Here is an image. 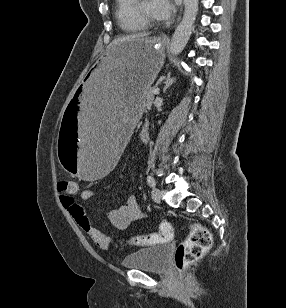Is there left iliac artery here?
<instances>
[{
  "label": "left iliac artery",
  "mask_w": 286,
  "mask_h": 308,
  "mask_svg": "<svg viewBox=\"0 0 286 308\" xmlns=\"http://www.w3.org/2000/svg\"><path fill=\"white\" fill-rule=\"evenodd\" d=\"M147 182L150 187H155L156 185L155 179L152 176H147Z\"/></svg>",
  "instance_id": "left-iliac-artery-1"
}]
</instances>
